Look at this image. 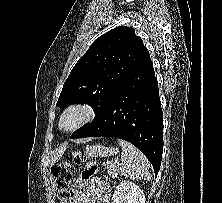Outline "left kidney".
<instances>
[{
  "label": "left kidney",
  "instance_id": "left-kidney-1",
  "mask_svg": "<svg viewBox=\"0 0 222 203\" xmlns=\"http://www.w3.org/2000/svg\"><path fill=\"white\" fill-rule=\"evenodd\" d=\"M111 203H145V195L133 182L122 180L113 193Z\"/></svg>",
  "mask_w": 222,
  "mask_h": 203
}]
</instances>
